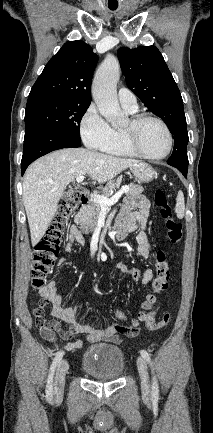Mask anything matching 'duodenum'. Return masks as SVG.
<instances>
[{
	"label": "duodenum",
	"mask_w": 213,
	"mask_h": 433,
	"mask_svg": "<svg viewBox=\"0 0 213 433\" xmlns=\"http://www.w3.org/2000/svg\"><path fill=\"white\" fill-rule=\"evenodd\" d=\"M88 203V197L86 198V200L83 202L81 208H84ZM131 230L126 227V226H116L115 231H114V238L117 241H121L128 232H130Z\"/></svg>",
	"instance_id": "duodenum-1"
}]
</instances>
